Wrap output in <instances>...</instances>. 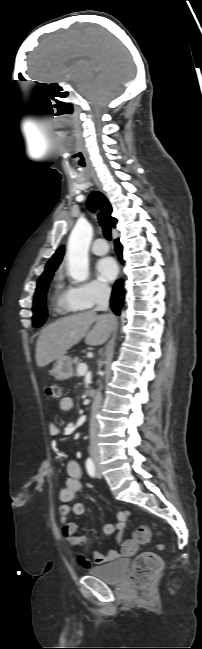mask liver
I'll return each instance as SVG.
<instances>
[{
	"label": "liver",
	"mask_w": 202,
	"mask_h": 649,
	"mask_svg": "<svg viewBox=\"0 0 202 649\" xmlns=\"http://www.w3.org/2000/svg\"><path fill=\"white\" fill-rule=\"evenodd\" d=\"M96 322L89 331L90 326ZM116 323L112 314L97 315L94 310L58 319L46 326L36 343V363L44 367L64 356L73 345L86 337V344L98 346L105 343Z\"/></svg>",
	"instance_id": "6515ba94"
}]
</instances>
